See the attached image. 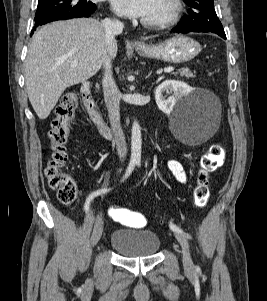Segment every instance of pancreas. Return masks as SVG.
I'll use <instances>...</instances> for the list:
<instances>
[{"mask_svg": "<svg viewBox=\"0 0 267 301\" xmlns=\"http://www.w3.org/2000/svg\"><path fill=\"white\" fill-rule=\"evenodd\" d=\"M175 74H179L180 76H184L186 78L195 77L194 73H192L188 68H182L179 70L178 73H175Z\"/></svg>", "mask_w": 267, "mask_h": 301, "instance_id": "obj_1", "label": "pancreas"}]
</instances>
